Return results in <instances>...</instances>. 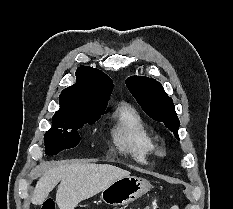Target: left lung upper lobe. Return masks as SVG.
I'll return each mask as SVG.
<instances>
[{"instance_id":"1","label":"left lung upper lobe","mask_w":233,"mask_h":209,"mask_svg":"<svg viewBox=\"0 0 233 209\" xmlns=\"http://www.w3.org/2000/svg\"><path fill=\"white\" fill-rule=\"evenodd\" d=\"M126 85L144 112L152 119L162 122L179 140V119L172 99L162 85L149 77L131 76Z\"/></svg>"}]
</instances>
